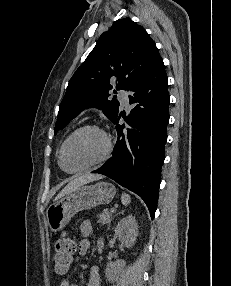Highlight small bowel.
Returning <instances> with one entry per match:
<instances>
[{
  "label": "small bowel",
  "instance_id": "1",
  "mask_svg": "<svg viewBox=\"0 0 231 286\" xmlns=\"http://www.w3.org/2000/svg\"><path fill=\"white\" fill-rule=\"evenodd\" d=\"M92 231H93V226L91 221L84 220L80 224V232L82 235V239L78 247V253L80 256H84L90 248L89 237L91 236ZM60 286H79V285L77 283L69 281L68 279H63L60 282ZM87 286H100L99 268L96 265L92 266L90 269L89 281Z\"/></svg>",
  "mask_w": 231,
  "mask_h": 286
}]
</instances>
